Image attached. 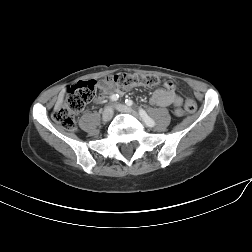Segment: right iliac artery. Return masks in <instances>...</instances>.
Instances as JSON below:
<instances>
[{"mask_svg": "<svg viewBox=\"0 0 252 252\" xmlns=\"http://www.w3.org/2000/svg\"><path fill=\"white\" fill-rule=\"evenodd\" d=\"M119 99V95L118 94H114V95H112V96H110V100L111 101H117Z\"/></svg>", "mask_w": 252, "mask_h": 252, "instance_id": "1", "label": "right iliac artery"}]
</instances>
